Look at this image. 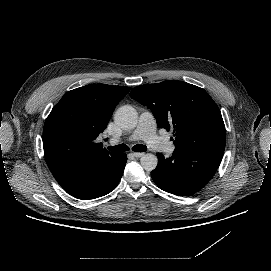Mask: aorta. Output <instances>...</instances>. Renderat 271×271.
Masks as SVG:
<instances>
[{"instance_id": "obj_1", "label": "aorta", "mask_w": 271, "mask_h": 271, "mask_svg": "<svg viewBox=\"0 0 271 271\" xmlns=\"http://www.w3.org/2000/svg\"><path fill=\"white\" fill-rule=\"evenodd\" d=\"M114 122L123 130H131L137 126L138 113L131 105H124L117 109ZM141 166L146 171H152L157 167L158 158L154 154H144L140 158Z\"/></svg>"}]
</instances>
